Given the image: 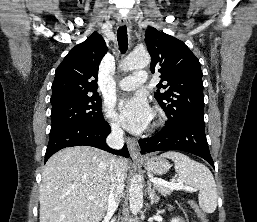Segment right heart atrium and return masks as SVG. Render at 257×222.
I'll return each instance as SVG.
<instances>
[{"mask_svg": "<svg viewBox=\"0 0 257 222\" xmlns=\"http://www.w3.org/2000/svg\"><path fill=\"white\" fill-rule=\"evenodd\" d=\"M103 112L112 133L115 135H121L122 129L120 121L113 109L109 106H105Z\"/></svg>", "mask_w": 257, "mask_h": 222, "instance_id": "obj_1", "label": "right heart atrium"}]
</instances>
